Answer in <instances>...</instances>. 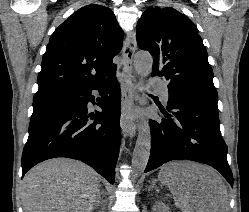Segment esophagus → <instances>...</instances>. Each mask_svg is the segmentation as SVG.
Returning <instances> with one entry per match:
<instances>
[{"instance_id":"34e87169","label":"esophagus","mask_w":249,"mask_h":212,"mask_svg":"<svg viewBox=\"0 0 249 212\" xmlns=\"http://www.w3.org/2000/svg\"><path fill=\"white\" fill-rule=\"evenodd\" d=\"M137 49V41L135 31H129L123 44V59L125 62V70L120 78L122 90V111L120 125L124 135L133 137L136 134V124L132 116V106L134 102L135 86L132 76V60Z\"/></svg>"}]
</instances>
